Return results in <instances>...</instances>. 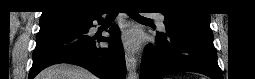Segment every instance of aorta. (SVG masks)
I'll return each instance as SVG.
<instances>
[{"label": "aorta", "mask_w": 255, "mask_h": 79, "mask_svg": "<svg viewBox=\"0 0 255 79\" xmlns=\"http://www.w3.org/2000/svg\"><path fill=\"white\" fill-rule=\"evenodd\" d=\"M127 78L128 79H138V75L136 73H130Z\"/></svg>", "instance_id": "aorta-1"}]
</instances>
